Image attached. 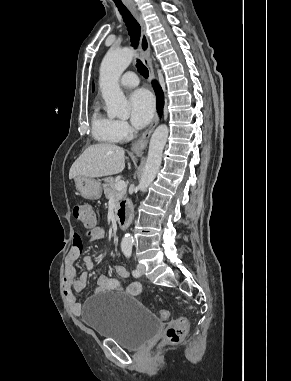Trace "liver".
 <instances>
[{"label": "liver", "instance_id": "obj_1", "mask_svg": "<svg viewBox=\"0 0 291 381\" xmlns=\"http://www.w3.org/2000/svg\"><path fill=\"white\" fill-rule=\"evenodd\" d=\"M125 167V151L123 148L109 143H100L88 147L73 163L69 171V179L76 176L90 178L115 175Z\"/></svg>", "mask_w": 291, "mask_h": 381}]
</instances>
